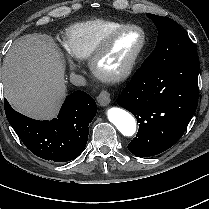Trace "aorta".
I'll list each match as a JSON object with an SVG mask.
<instances>
[{"label": "aorta", "mask_w": 209, "mask_h": 209, "mask_svg": "<svg viewBox=\"0 0 209 209\" xmlns=\"http://www.w3.org/2000/svg\"><path fill=\"white\" fill-rule=\"evenodd\" d=\"M107 117L124 136L130 137L136 132V120L129 112L111 107L107 110Z\"/></svg>", "instance_id": "aorta-1"}]
</instances>
